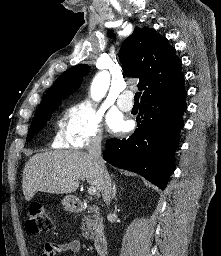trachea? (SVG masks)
Returning a JSON list of instances; mask_svg holds the SVG:
<instances>
[{
	"label": "trachea",
	"mask_w": 221,
	"mask_h": 256,
	"mask_svg": "<svg viewBox=\"0 0 221 256\" xmlns=\"http://www.w3.org/2000/svg\"><path fill=\"white\" fill-rule=\"evenodd\" d=\"M140 96H141V92H137V93L135 94V97H134L135 103H138V102H139Z\"/></svg>",
	"instance_id": "1"
}]
</instances>
